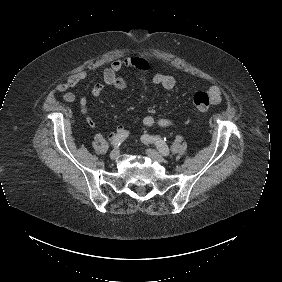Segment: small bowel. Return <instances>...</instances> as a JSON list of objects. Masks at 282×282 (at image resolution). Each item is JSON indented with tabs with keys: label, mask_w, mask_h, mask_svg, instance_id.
Listing matches in <instances>:
<instances>
[{
	"label": "small bowel",
	"mask_w": 282,
	"mask_h": 282,
	"mask_svg": "<svg viewBox=\"0 0 282 282\" xmlns=\"http://www.w3.org/2000/svg\"><path fill=\"white\" fill-rule=\"evenodd\" d=\"M134 68L140 71H147L150 68L149 61L142 56H127L121 59L114 60L109 67H107L103 74V81L98 82L92 89V95L94 97H100L107 86H114L122 89L126 86V82L119 76V72L124 68ZM87 77V71H81L71 74L64 82L59 83L56 86V91L63 93V98L66 102H74L76 95L69 91L70 88L76 86L82 80ZM152 83L157 86H161L165 89H176L182 85L181 81L177 78L166 74H155L152 78ZM208 94L211 99V103L216 105L222 100V92L218 86H211L208 89ZM80 108L86 115L87 123L90 127H95L96 123L94 119L87 113L88 101L86 98L80 99ZM143 125L147 128H177L183 125L172 118L168 117H156L155 110L153 108L148 109V114L142 120ZM124 130L123 126H119L111 136H115Z\"/></svg>",
	"instance_id": "c3829d8e"
}]
</instances>
